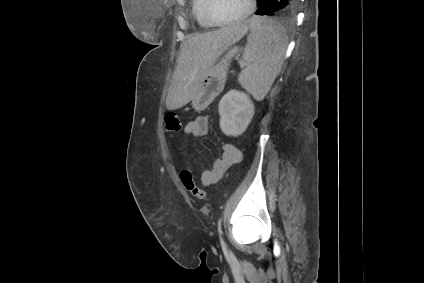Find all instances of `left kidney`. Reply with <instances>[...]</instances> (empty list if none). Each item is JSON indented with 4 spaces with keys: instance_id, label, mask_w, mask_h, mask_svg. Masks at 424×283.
<instances>
[{
    "instance_id": "1",
    "label": "left kidney",
    "mask_w": 424,
    "mask_h": 283,
    "mask_svg": "<svg viewBox=\"0 0 424 283\" xmlns=\"http://www.w3.org/2000/svg\"><path fill=\"white\" fill-rule=\"evenodd\" d=\"M220 128L227 136L243 134L254 115V104L249 96L231 90L219 102Z\"/></svg>"
}]
</instances>
